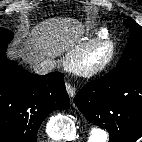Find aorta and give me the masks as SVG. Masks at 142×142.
Listing matches in <instances>:
<instances>
[{"label":"aorta","instance_id":"762f6f07","mask_svg":"<svg viewBox=\"0 0 142 142\" xmlns=\"http://www.w3.org/2000/svg\"><path fill=\"white\" fill-rule=\"evenodd\" d=\"M107 138L108 134L105 130L94 127L89 132L88 142H106Z\"/></svg>","mask_w":142,"mask_h":142}]
</instances>
